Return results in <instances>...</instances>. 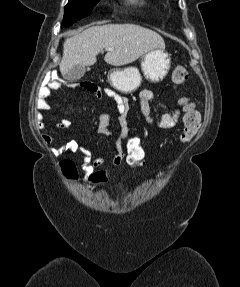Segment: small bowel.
Returning a JSON list of instances; mask_svg holds the SVG:
<instances>
[{
    "instance_id": "small-bowel-1",
    "label": "small bowel",
    "mask_w": 240,
    "mask_h": 287,
    "mask_svg": "<svg viewBox=\"0 0 240 287\" xmlns=\"http://www.w3.org/2000/svg\"><path fill=\"white\" fill-rule=\"evenodd\" d=\"M62 86L60 82L53 79L52 76H48L45 79V84L40 87L37 94L36 107L40 111H50L52 109L48 99L52 95L54 90L59 89ZM96 98L101 99L103 97H108L113 100L116 105L118 112V122H119V133L116 136V148L112 158L113 166H120L125 163V154L123 150L124 141L128 135L129 123L128 115L130 111L129 99L127 97L119 95L113 89L104 88L101 89L98 86H94L91 91ZM153 99V92L149 89H144L139 94V109L144 117L146 123L150 126L156 124L162 129H173L175 128L183 112L181 109H175L171 113H161L158 116L154 117L151 110V100ZM191 103L189 97H183L181 102ZM110 120L111 116L108 112H102L98 116V132L104 135H111L112 131L110 129ZM72 125V122L67 118H62L57 127L61 130L69 129ZM45 141L47 143L53 142V137L50 135L45 136ZM60 151L63 152H72L78 154L81 158V169L87 174L92 175L94 169L99 168L104 163V158L102 156H94L91 150L88 148L79 145L74 141L67 142L62 145Z\"/></svg>"
}]
</instances>
